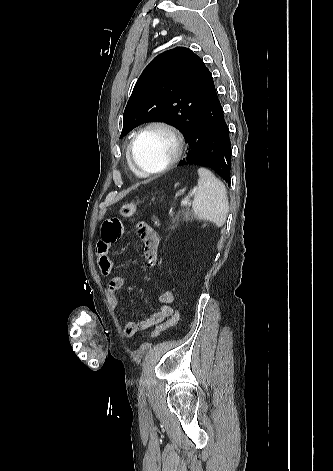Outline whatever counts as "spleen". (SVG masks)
I'll use <instances>...</instances> for the list:
<instances>
[{
  "label": "spleen",
  "mask_w": 333,
  "mask_h": 471,
  "mask_svg": "<svg viewBox=\"0 0 333 471\" xmlns=\"http://www.w3.org/2000/svg\"><path fill=\"white\" fill-rule=\"evenodd\" d=\"M198 174V185L192 202L193 212L197 219L210 221L221 227L229 211L225 185L204 167L198 169Z\"/></svg>",
  "instance_id": "obj_1"
}]
</instances>
